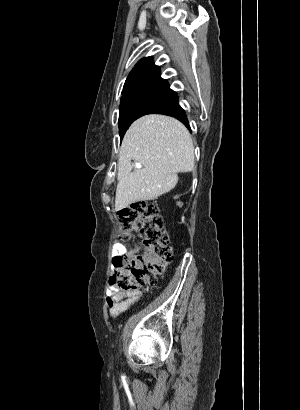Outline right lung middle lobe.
Wrapping results in <instances>:
<instances>
[{
  "label": "right lung middle lobe",
  "mask_w": 300,
  "mask_h": 410,
  "mask_svg": "<svg viewBox=\"0 0 300 410\" xmlns=\"http://www.w3.org/2000/svg\"><path fill=\"white\" fill-rule=\"evenodd\" d=\"M178 100L167 82L137 84L124 88L119 108V134L122 140L128 127L137 118L156 113Z\"/></svg>",
  "instance_id": "1"
}]
</instances>
